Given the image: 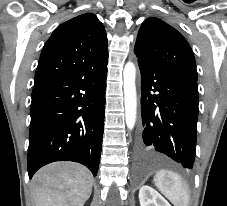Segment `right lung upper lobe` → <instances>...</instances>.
Wrapping results in <instances>:
<instances>
[{"instance_id":"obj_1","label":"right lung upper lobe","mask_w":227,"mask_h":206,"mask_svg":"<svg viewBox=\"0 0 227 206\" xmlns=\"http://www.w3.org/2000/svg\"><path fill=\"white\" fill-rule=\"evenodd\" d=\"M107 35L96 15L85 13L59 25L45 43L35 73V82L107 61Z\"/></svg>"}]
</instances>
